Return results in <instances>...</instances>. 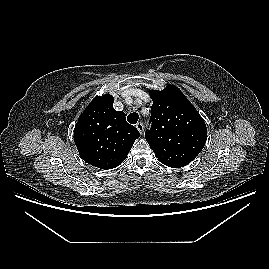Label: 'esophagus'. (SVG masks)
<instances>
[{"mask_svg": "<svg viewBox=\"0 0 269 269\" xmlns=\"http://www.w3.org/2000/svg\"><path fill=\"white\" fill-rule=\"evenodd\" d=\"M136 128L138 129V131L140 132V134H143V132H144V125H143L142 122H138L136 124Z\"/></svg>", "mask_w": 269, "mask_h": 269, "instance_id": "esophagus-1", "label": "esophagus"}]
</instances>
